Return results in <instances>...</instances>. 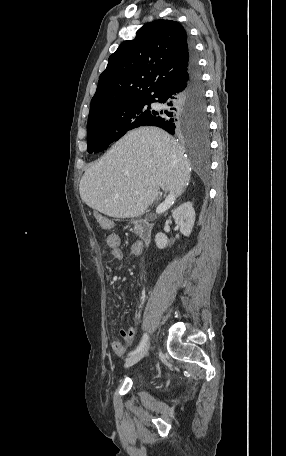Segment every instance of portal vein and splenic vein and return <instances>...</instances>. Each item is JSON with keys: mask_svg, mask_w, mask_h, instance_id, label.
<instances>
[{"mask_svg": "<svg viewBox=\"0 0 286 456\" xmlns=\"http://www.w3.org/2000/svg\"><path fill=\"white\" fill-rule=\"evenodd\" d=\"M174 203L173 195H168L163 203L158 205L156 208V213H163Z\"/></svg>", "mask_w": 286, "mask_h": 456, "instance_id": "18ae733b", "label": "portal vein and splenic vein"}]
</instances>
